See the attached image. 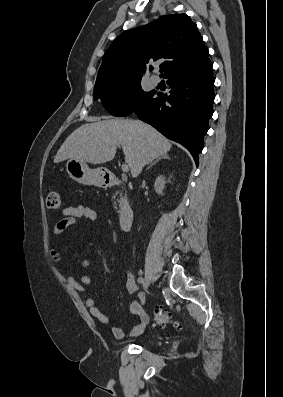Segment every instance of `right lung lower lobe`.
Wrapping results in <instances>:
<instances>
[{"instance_id": "right-lung-lower-lobe-1", "label": "right lung lower lobe", "mask_w": 283, "mask_h": 397, "mask_svg": "<svg viewBox=\"0 0 283 397\" xmlns=\"http://www.w3.org/2000/svg\"><path fill=\"white\" fill-rule=\"evenodd\" d=\"M165 78L170 94L158 93L133 112L170 140L186 147L198 165V154L213 115L212 63L207 58L176 69Z\"/></svg>"}]
</instances>
